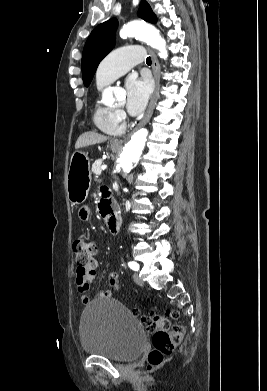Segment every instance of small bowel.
Listing matches in <instances>:
<instances>
[{
  "mask_svg": "<svg viewBox=\"0 0 267 391\" xmlns=\"http://www.w3.org/2000/svg\"><path fill=\"white\" fill-rule=\"evenodd\" d=\"M103 195V202H108V190L106 188H103L101 190ZM78 217L81 220H87L89 217V210L87 207H81L78 210ZM96 275V262L94 261L92 264V267L86 271L82 272L79 270H76V285H77V291L80 295V300L82 303L87 304L90 302V298L87 295L88 288L90 286V283L94 279ZM113 294L112 287H108L105 290L100 291L96 296L95 300L105 299L111 297Z\"/></svg>",
  "mask_w": 267,
  "mask_h": 391,
  "instance_id": "obj_1",
  "label": "small bowel"
}]
</instances>
